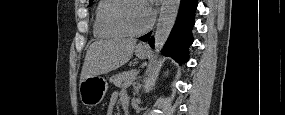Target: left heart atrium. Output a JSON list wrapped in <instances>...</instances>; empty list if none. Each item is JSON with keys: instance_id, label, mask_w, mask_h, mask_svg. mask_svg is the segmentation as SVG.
I'll return each mask as SVG.
<instances>
[{"instance_id": "39dd6f15", "label": "left heart atrium", "mask_w": 285, "mask_h": 115, "mask_svg": "<svg viewBox=\"0 0 285 115\" xmlns=\"http://www.w3.org/2000/svg\"><path fill=\"white\" fill-rule=\"evenodd\" d=\"M143 10H144L145 20H146V25H147L151 22L153 15H154V11L152 7L148 4L143 5Z\"/></svg>"}]
</instances>
